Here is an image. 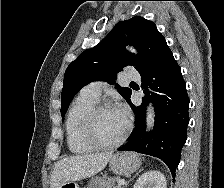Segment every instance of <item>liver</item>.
Here are the masks:
<instances>
[{"instance_id":"6515ba94","label":"liver","mask_w":224,"mask_h":188,"mask_svg":"<svg viewBox=\"0 0 224 188\" xmlns=\"http://www.w3.org/2000/svg\"><path fill=\"white\" fill-rule=\"evenodd\" d=\"M113 152L81 154L58 161L50 179V188H59L66 182L91 177L105 168Z\"/></svg>"}]
</instances>
